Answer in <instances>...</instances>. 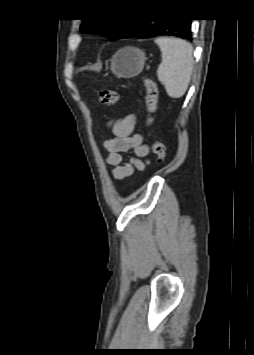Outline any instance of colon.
Masks as SVG:
<instances>
[{
	"label": "colon",
	"instance_id": "5ec220e1",
	"mask_svg": "<svg viewBox=\"0 0 254 355\" xmlns=\"http://www.w3.org/2000/svg\"><path fill=\"white\" fill-rule=\"evenodd\" d=\"M143 84L146 88V109H145V128L147 134L149 135V129L153 121V114L156 111L157 99H158V89L156 84L148 79H143ZM120 95L117 90L108 89L100 92L98 101L103 106H114L119 102ZM153 153L159 163L164 162L166 159V148L163 143L154 141L152 143Z\"/></svg>",
	"mask_w": 254,
	"mask_h": 355
}]
</instances>
